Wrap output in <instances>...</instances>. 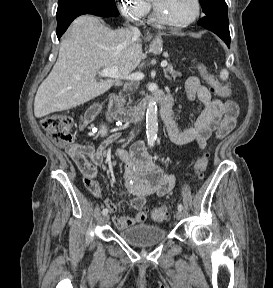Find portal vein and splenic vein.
<instances>
[{
  "label": "portal vein and splenic vein",
  "mask_w": 273,
  "mask_h": 288,
  "mask_svg": "<svg viewBox=\"0 0 273 288\" xmlns=\"http://www.w3.org/2000/svg\"><path fill=\"white\" fill-rule=\"evenodd\" d=\"M166 66H167V61L161 62V67H166ZM99 76L109 77V78H113V79H127V80H135V81H139V80H142L144 78V74L141 72H136V73L127 74V75H121L118 72L117 67L105 68L99 72Z\"/></svg>",
  "instance_id": "18ae733b"
}]
</instances>
